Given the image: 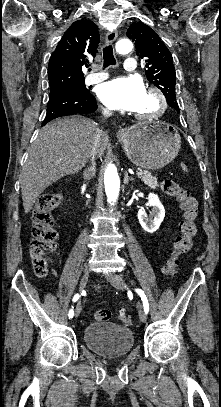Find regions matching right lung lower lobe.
I'll use <instances>...</instances> for the list:
<instances>
[{
    "label": "right lung lower lobe",
    "mask_w": 221,
    "mask_h": 407,
    "mask_svg": "<svg viewBox=\"0 0 221 407\" xmlns=\"http://www.w3.org/2000/svg\"><path fill=\"white\" fill-rule=\"evenodd\" d=\"M96 109V100L90 91L85 93L73 91L60 92L49 96L47 113L42 126L58 117L88 114L96 111Z\"/></svg>",
    "instance_id": "obj_1"
}]
</instances>
